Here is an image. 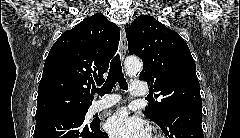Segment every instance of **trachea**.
Listing matches in <instances>:
<instances>
[{
  "label": "trachea",
  "mask_w": 240,
  "mask_h": 138,
  "mask_svg": "<svg viewBox=\"0 0 240 138\" xmlns=\"http://www.w3.org/2000/svg\"><path fill=\"white\" fill-rule=\"evenodd\" d=\"M116 82H118L120 88H122L123 90L128 89V85H127L126 79L124 78V75L122 72L121 61H120V57L118 54L115 57H113V59L110 63L108 77H107L105 83L103 84V86L100 89L93 88L92 92L98 93L101 96L104 94H108L112 91Z\"/></svg>",
  "instance_id": "3493384b"
}]
</instances>
